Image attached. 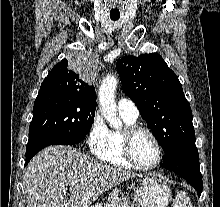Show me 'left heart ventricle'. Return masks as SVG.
Segmentation results:
<instances>
[{
    "mask_svg": "<svg viewBox=\"0 0 220 207\" xmlns=\"http://www.w3.org/2000/svg\"><path fill=\"white\" fill-rule=\"evenodd\" d=\"M132 153L143 165H149L157 159V148L152 138L145 132H138L132 140Z\"/></svg>",
    "mask_w": 220,
    "mask_h": 207,
    "instance_id": "obj_1",
    "label": "left heart ventricle"
}]
</instances>
